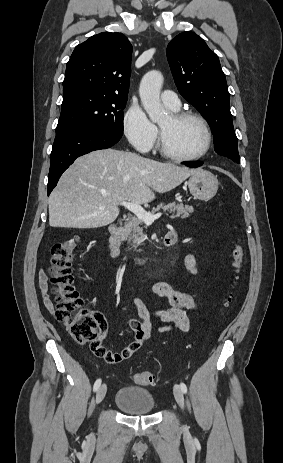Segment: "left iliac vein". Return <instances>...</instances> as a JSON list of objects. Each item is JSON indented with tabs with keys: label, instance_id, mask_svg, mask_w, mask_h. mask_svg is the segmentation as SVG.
Wrapping results in <instances>:
<instances>
[{
	"label": "left iliac vein",
	"instance_id": "obj_1",
	"mask_svg": "<svg viewBox=\"0 0 283 463\" xmlns=\"http://www.w3.org/2000/svg\"><path fill=\"white\" fill-rule=\"evenodd\" d=\"M173 392H174V397L176 399V402L181 407V409H184V395H183V392L180 386L174 385Z\"/></svg>",
	"mask_w": 283,
	"mask_h": 463
}]
</instances>
